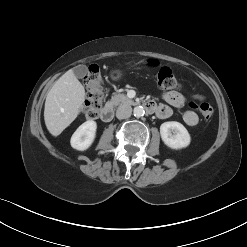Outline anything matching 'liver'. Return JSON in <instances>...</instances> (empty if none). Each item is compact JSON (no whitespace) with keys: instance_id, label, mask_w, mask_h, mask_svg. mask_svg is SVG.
<instances>
[{"instance_id":"1","label":"liver","mask_w":247,"mask_h":247,"mask_svg":"<svg viewBox=\"0 0 247 247\" xmlns=\"http://www.w3.org/2000/svg\"><path fill=\"white\" fill-rule=\"evenodd\" d=\"M85 89L68 70L52 86L47 94L44 120L53 136L60 135L79 115L84 107Z\"/></svg>"}]
</instances>
